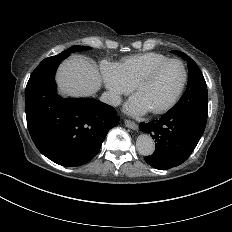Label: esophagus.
<instances>
[{"instance_id": "obj_1", "label": "esophagus", "mask_w": 232, "mask_h": 232, "mask_svg": "<svg viewBox=\"0 0 232 232\" xmlns=\"http://www.w3.org/2000/svg\"><path fill=\"white\" fill-rule=\"evenodd\" d=\"M124 124H125V126L127 128H130L132 130H137L138 129V125L135 122H133V121L125 120Z\"/></svg>"}]
</instances>
